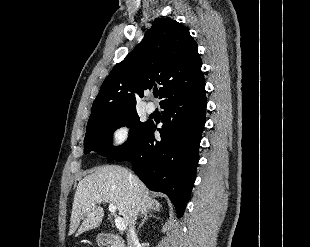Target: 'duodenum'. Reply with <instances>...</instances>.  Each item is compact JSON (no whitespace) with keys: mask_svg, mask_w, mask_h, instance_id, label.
<instances>
[{"mask_svg":"<svg viewBox=\"0 0 310 247\" xmlns=\"http://www.w3.org/2000/svg\"><path fill=\"white\" fill-rule=\"evenodd\" d=\"M101 247H125L121 240L114 234L102 233L99 238Z\"/></svg>","mask_w":310,"mask_h":247,"instance_id":"obj_1","label":"duodenum"}]
</instances>
